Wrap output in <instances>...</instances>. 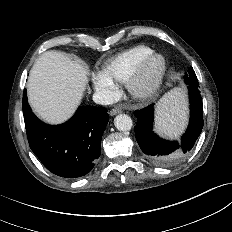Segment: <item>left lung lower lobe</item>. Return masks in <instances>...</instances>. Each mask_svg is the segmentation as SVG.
<instances>
[{
    "label": "left lung lower lobe",
    "mask_w": 232,
    "mask_h": 232,
    "mask_svg": "<svg viewBox=\"0 0 232 232\" xmlns=\"http://www.w3.org/2000/svg\"><path fill=\"white\" fill-rule=\"evenodd\" d=\"M184 79L189 85L190 121L180 144L161 139L153 132L154 104L134 112L138 120L134 127L136 140L146 158L159 166H168L183 159L193 148L203 128L202 98L196 74L191 73Z\"/></svg>",
    "instance_id": "left-lung-lower-lobe-1"
}]
</instances>
